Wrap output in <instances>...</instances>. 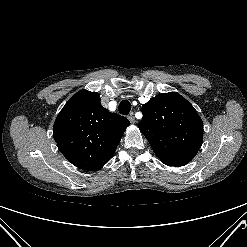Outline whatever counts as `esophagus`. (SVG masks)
<instances>
[{
  "label": "esophagus",
  "instance_id": "1",
  "mask_svg": "<svg viewBox=\"0 0 247 247\" xmlns=\"http://www.w3.org/2000/svg\"><path fill=\"white\" fill-rule=\"evenodd\" d=\"M128 119H129V121L132 123V124H134L136 121H135V117L133 116V113L132 114H130L129 116H128Z\"/></svg>",
  "mask_w": 247,
  "mask_h": 247
}]
</instances>
